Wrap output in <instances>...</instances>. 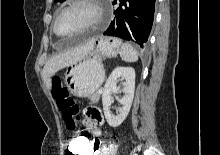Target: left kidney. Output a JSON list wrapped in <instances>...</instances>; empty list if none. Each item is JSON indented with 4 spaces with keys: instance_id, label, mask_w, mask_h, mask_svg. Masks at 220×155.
<instances>
[{
    "instance_id": "1",
    "label": "left kidney",
    "mask_w": 220,
    "mask_h": 155,
    "mask_svg": "<svg viewBox=\"0 0 220 155\" xmlns=\"http://www.w3.org/2000/svg\"><path fill=\"white\" fill-rule=\"evenodd\" d=\"M123 79V88L117 87V80ZM135 91V70L132 67H116L104 85L102 91V103L105 118L111 127H118L127 117L134 98ZM123 92L124 96L119 99L121 107L117 114L110 111L112 104V93Z\"/></svg>"
}]
</instances>
